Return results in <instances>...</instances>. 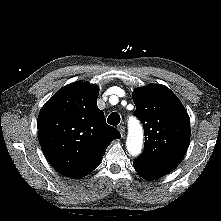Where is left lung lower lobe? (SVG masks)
<instances>
[{"label": "left lung lower lobe", "instance_id": "left-lung-lower-lobe-1", "mask_svg": "<svg viewBox=\"0 0 221 221\" xmlns=\"http://www.w3.org/2000/svg\"><path fill=\"white\" fill-rule=\"evenodd\" d=\"M133 165H134L136 172L146 180H154V179H158V178L166 175L165 173L144 167L136 162H133Z\"/></svg>", "mask_w": 221, "mask_h": 221}]
</instances>
